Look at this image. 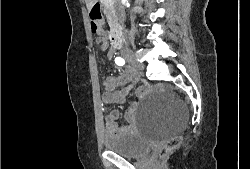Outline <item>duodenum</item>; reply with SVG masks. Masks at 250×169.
Masks as SVG:
<instances>
[{"mask_svg": "<svg viewBox=\"0 0 250 169\" xmlns=\"http://www.w3.org/2000/svg\"><path fill=\"white\" fill-rule=\"evenodd\" d=\"M109 41L115 49L122 47L124 45V37L121 30L113 27L109 33Z\"/></svg>", "mask_w": 250, "mask_h": 169, "instance_id": "1", "label": "duodenum"}]
</instances>
